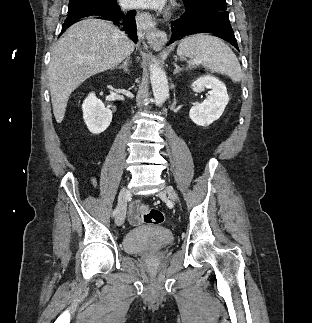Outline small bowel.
Here are the masks:
<instances>
[{
	"instance_id": "obj_1",
	"label": "small bowel",
	"mask_w": 312,
	"mask_h": 323,
	"mask_svg": "<svg viewBox=\"0 0 312 323\" xmlns=\"http://www.w3.org/2000/svg\"><path fill=\"white\" fill-rule=\"evenodd\" d=\"M93 186H97L96 179L91 180ZM129 222L133 226H138L141 224V216L139 213V203L137 200H134L129 207Z\"/></svg>"
}]
</instances>
